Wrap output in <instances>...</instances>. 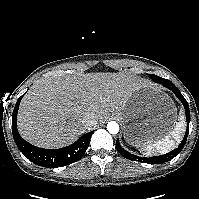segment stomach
I'll list each match as a JSON object with an SVG mask.
<instances>
[{
  "label": "stomach",
  "mask_w": 199,
  "mask_h": 199,
  "mask_svg": "<svg viewBox=\"0 0 199 199\" xmlns=\"http://www.w3.org/2000/svg\"><path fill=\"white\" fill-rule=\"evenodd\" d=\"M164 99H167L164 95L141 88L130 96L123 108L113 113L122 122L124 137L129 144H140L162 136L173 119L172 110Z\"/></svg>",
  "instance_id": "obj_1"
}]
</instances>
